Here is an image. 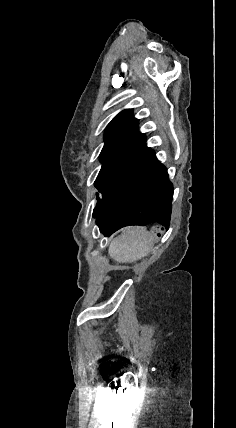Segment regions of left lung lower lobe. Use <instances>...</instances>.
Returning a JSON list of instances; mask_svg holds the SVG:
<instances>
[{
    "instance_id": "0a47b994",
    "label": "left lung lower lobe",
    "mask_w": 236,
    "mask_h": 428,
    "mask_svg": "<svg viewBox=\"0 0 236 428\" xmlns=\"http://www.w3.org/2000/svg\"><path fill=\"white\" fill-rule=\"evenodd\" d=\"M102 197L93 216L105 236L128 225L158 224L168 230L173 185L166 167L146 144L112 190L102 193Z\"/></svg>"
}]
</instances>
